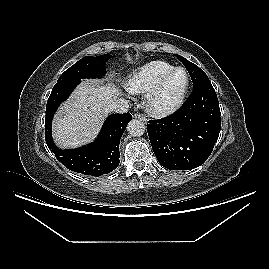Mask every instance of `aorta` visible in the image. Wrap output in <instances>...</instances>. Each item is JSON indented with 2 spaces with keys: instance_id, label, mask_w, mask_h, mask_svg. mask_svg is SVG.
Here are the masks:
<instances>
[{
  "instance_id": "aorta-1",
  "label": "aorta",
  "mask_w": 269,
  "mask_h": 269,
  "mask_svg": "<svg viewBox=\"0 0 269 269\" xmlns=\"http://www.w3.org/2000/svg\"><path fill=\"white\" fill-rule=\"evenodd\" d=\"M145 130V123L137 119L130 121L127 125L128 133L134 137L143 135Z\"/></svg>"
}]
</instances>
